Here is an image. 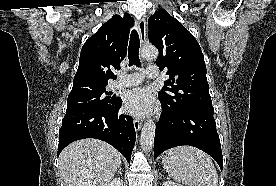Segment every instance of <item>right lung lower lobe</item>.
Wrapping results in <instances>:
<instances>
[{
	"label": "right lung lower lobe",
	"instance_id": "98d812e1",
	"mask_svg": "<svg viewBox=\"0 0 276 186\" xmlns=\"http://www.w3.org/2000/svg\"><path fill=\"white\" fill-rule=\"evenodd\" d=\"M122 99L107 109H84L66 113L59 130L58 153L71 142L95 138L105 141L123 154L127 161L136 140L133 120L128 115H118Z\"/></svg>",
	"mask_w": 276,
	"mask_h": 186
}]
</instances>
